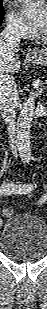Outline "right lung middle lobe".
I'll return each mask as SVG.
<instances>
[{
    "instance_id": "dd1d6c3e",
    "label": "right lung middle lobe",
    "mask_w": 47,
    "mask_h": 309,
    "mask_svg": "<svg viewBox=\"0 0 47 309\" xmlns=\"http://www.w3.org/2000/svg\"><path fill=\"white\" fill-rule=\"evenodd\" d=\"M3 16H4V11H3L2 2L0 1V18H2Z\"/></svg>"
}]
</instances>
